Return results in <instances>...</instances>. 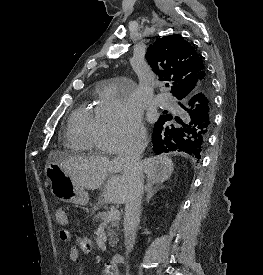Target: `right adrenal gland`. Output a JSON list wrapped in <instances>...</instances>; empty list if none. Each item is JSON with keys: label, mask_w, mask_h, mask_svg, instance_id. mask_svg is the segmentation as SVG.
<instances>
[{"label": "right adrenal gland", "mask_w": 263, "mask_h": 275, "mask_svg": "<svg viewBox=\"0 0 263 275\" xmlns=\"http://www.w3.org/2000/svg\"><path fill=\"white\" fill-rule=\"evenodd\" d=\"M165 186L164 185H153L151 183H147L145 186V192H146V202L149 203L151 198L160 190H162Z\"/></svg>", "instance_id": "obj_1"}]
</instances>
